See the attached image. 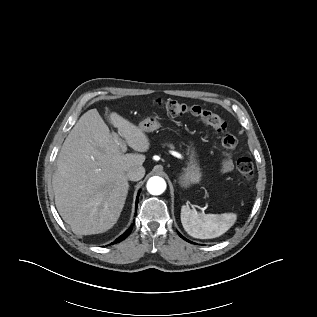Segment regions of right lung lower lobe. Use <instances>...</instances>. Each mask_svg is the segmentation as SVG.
I'll list each match as a JSON object with an SVG mask.
<instances>
[{
	"label": "right lung lower lobe",
	"mask_w": 317,
	"mask_h": 317,
	"mask_svg": "<svg viewBox=\"0 0 317 317\" xmlns=\"http://www.w3.org/2000/svg\"><path fill=\"white\" fill-rule=\"evenodd\" d=\"M137 205H138V196H137V201H136V206ZM133 225H134V223L131 225V227L124 234H122L120 237H118L116 239V241H114L112 244H115V243H118V242H121L122 240H124L131 233Z\"/></svg>",
	"instance_id": "98d812e1"
}]
</instances>
